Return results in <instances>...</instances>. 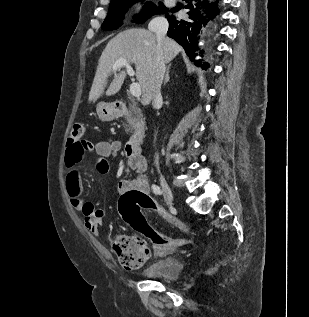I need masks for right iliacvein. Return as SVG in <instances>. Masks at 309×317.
Returning a JSON list of instances; mask_svg holds the SVG:
<instances>
[{"label":"right iliac vein","mask_w":309,"mask_h":317,"mask_svg":"<svg viewBox=\"0 0 309 317\" xmlns=\"http://www.w3.org/2000/svg\"><path fill=\"white\" fill-rule=\"evenodd\" d=\"M159 179H160V184H161L162 190L164 192L166 201H167V203L169 205H172L173 204V193H172V190H171L170 186L168 185L167 181L165 180V178L162 175H160Z\"/></svg>","instance_id":"obj_1"}]
</instances>
